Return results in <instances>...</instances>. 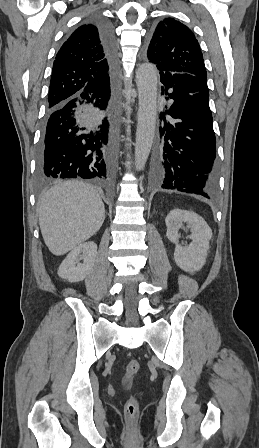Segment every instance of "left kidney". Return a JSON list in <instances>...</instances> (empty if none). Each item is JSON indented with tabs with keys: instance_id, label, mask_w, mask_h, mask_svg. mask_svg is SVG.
I'll use <instances>...</instances> for the list:
<instances>
[{
	"instance_id": "left-kidney-1",
	"label": "left kidney",
	"mask_w": 259,
	"mask_h": 448,
	"mask_svg": "<svg viewBox=\"0 0 259 448\" xmlns=\"http://www.w3.org/2000/svg\"><path fill=\"white\" fill-rule=\"evenodd\" d=\"M185 222L187 228H191L190 238L193 242L189 246H179L180 234H178V230L182 228ZM165 224L168 240L177 244L174 252V260L177 266L184 272H189V274L199 272L206 262L209 240L212 238V230H210L208 224L195 212L178 210V208L169 212L165 218Z\"/></svg>"
}]
</instances>
